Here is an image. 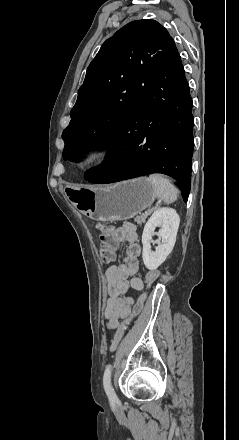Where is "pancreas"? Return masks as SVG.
<instances>
[{
  "mask_svg": "<svg viewBox=\"0 0 239 440\" xmlns=\"http://www.w3.org/2000/svg\"><path fill=\"white\" fill-rule=\"evenodd\" d=\"M150 214H152V210H148L147 214H141V216H136V218H134V222H137V224H144L146 218H148V216H150Z\"/></svg>",
  "mask_w": 239,
  "mask_h": 440,
  "instance_id": "pancreas-1",
  "label": "pancreas"
}]
</instances>
